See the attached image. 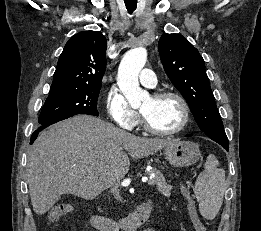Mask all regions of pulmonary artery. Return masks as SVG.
Listing matches in <instances>:
<instances>
[{
  "instance_id": "pulmonary-artery-1",
  "label": "pulmonary artery",
  "mask_w": 261,
  "mask_h": 231,
  "mask_svg": "<svg viewBox=\"0 0 261 231\" xmlns=\"http://www.w3.org/2000/svg\"><path fill=\"white\" fill-rule=\"evenodd\" d=\"M140 82L147 88H155L157 81L153 70L144 68L140 73Z\"/></svg>"
}]
</instances>
